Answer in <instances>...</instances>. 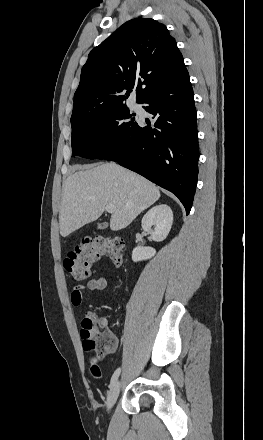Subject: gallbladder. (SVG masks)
<instances>
[{
	"instance_id": "1",
	"label": "gallbladder",
	"mask_w": 263,
	"mask_h": 440,
	"mask_svg": "<svg viewBox=\"0 0 263 440\" xmlns=\"http://www.w3.org/2000/svg\"><path fill=\"white\" fill-rule=\"evenodd\" d=\"M105 227H106V225L104 223H100L97 226L98 229H104Z\"/></svg>"
}]
</instances>
